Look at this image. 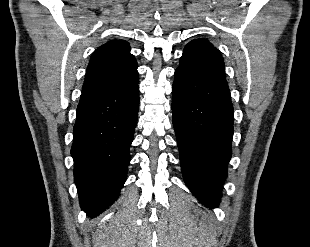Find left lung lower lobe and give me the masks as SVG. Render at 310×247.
<instances>
[{"mask_svg": "<svg viewBox=\"0 0 310 247\" xmlns=\"http://www.w3.org/2000/svg\"><path fill=\"white\" fill-rule=\"evenodd\" d=\"M173 126L186 185L205 205L216 207L227 177L233 106L227 83L176 69Z\"/></svg>", "mask_w": 310, "mask_h": 247, "instance_id": "obj_1", "label": "left lung lower lobe"}]
</instances>
